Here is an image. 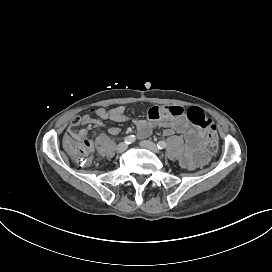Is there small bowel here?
Masks as SVG:
<instances>
[{
  "instance_id": "c3829d8e",
  "label": "small bowel",
  "mask_w": 272,
  "mask_h": 272,
  "mask_svg": "<svg viewBox=\"0 0 272 272\" xmlns=\"http://www.w3.org/2000/svg\"><path fill=\"white\" fill-rule=\"evenodd\" d=\"M103 120L127 122L130 121V118L125 114L123 106H116L111 109L94 107L90 109L89 113L73 118L64 141L69 137L79 139L82 134L87 133L86 130L74 133V127L78 125L103 127ZM132 122L135 124L141 138L149 136L155 126L164 127V134L167 136L173 133L182 134L185 147L181 156V165L184 168L193 170L205 163L206 155L199 148V134L191 127L187 113L183 107L178 105L154 106L148 110L147 119H135ZM108 132L111 135H118L120 128L112 126L108 128Z\"/></svg>"
}]
</instances>
